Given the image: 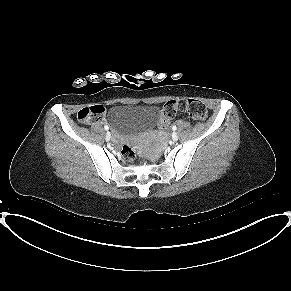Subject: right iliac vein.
Here are the masks:
<instances>
[{"instance_id": "63e3f726", "label": "right iliac vein", "mask_w": 291, "mask_h": 291, "mask_svg": "<svg viewBox=\"0 0 291 291\" xmlns=\"http://www.w3.org/2000/svg\"><path fill=\"white\" fill-rule=\"evenodd\" d=\"M105 139H106V141L110 140V133L109 132L106 133Z\"/></svg>"}]
</instances>
